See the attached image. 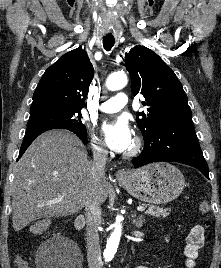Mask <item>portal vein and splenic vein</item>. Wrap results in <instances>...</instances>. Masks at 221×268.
<instances>
[{
	"instance_id": "portal-vein-and-splenic-vein-1",
	"label": "portal vein and splenic vein",
	"mask_w": 221,
	"mask_h": 268,
	"mask_svg": "<svg viewBox=\"0 0 221 268\" xmlns=\"http://www.w3.org/2000/svg\"><path fill=\"white\" fill-rule=\"evenodd\" d=\"M58 199H59V200H62L63 197H59ZM137 210H138V211H144V210H145V207H144V206H139V207H137Z\"/></svg>"
}]
</instances>
